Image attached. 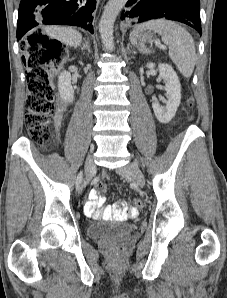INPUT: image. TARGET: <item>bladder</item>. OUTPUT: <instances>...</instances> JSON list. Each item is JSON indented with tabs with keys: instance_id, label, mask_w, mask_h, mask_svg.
I'll use <instances>...</instances> for the list:
<instances>
[{
	"instance_id": "31cf9c89",
	"label": "bladder",
	"mask_w": 227,
	"mask_h": 298,
	"mask_svg": "<svg viewBox=\"0 0 227 298\" xmlns=\"http://www.w3.org/2000/svg\"><path fill=\"white\" fill-rule=\"evenodd\" d=\"M133 230L134 226L130 223L103 221L90 224L87 227V235L94 239H111L127 236Z\"/></svg>"
}]
</instances>
